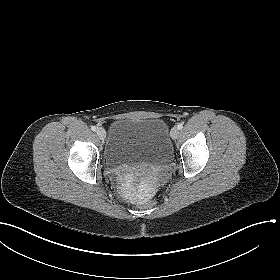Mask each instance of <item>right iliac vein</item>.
I'll return each instance as SVG.
<instances>
[{"label":"right iliac vein","mask_w":280,"mask_h":280,"mask_svg":"<svg viewBox=\"0 0 280 280\" xmlns=\"http://www.w3.org/2000/svg\"><path fill=\"white\" fill-rule=\"evenodd\" d=\"M96 133H97V135H98V137L100 138V139H105V137H106V131L104 130V128H98L97 129V131H96Z\"/></svg>","instance_id":"63e3f726"}]
</instances>
